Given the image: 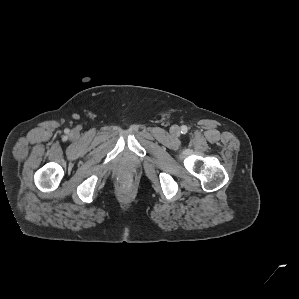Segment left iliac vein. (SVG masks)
<instances>
[{"instance_id": "left-iliac-vein-1", "label": "left iliac vein", "mask_w": 299, "mask_h": 299, "mask_svg": "<svg viewBox=\"0 0 299 299\" xmlns=\"http://www.w3.org/2000/svg\"><path fill=\"white\" fill-rule=\"evenodd\" d=\"M171 132L173 135H178L180 133V128L178 126H173Z\"/></svg>"}]
</instances>
